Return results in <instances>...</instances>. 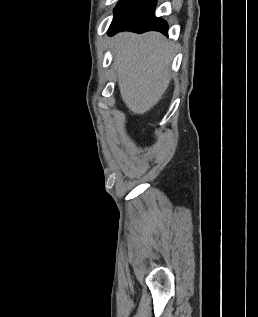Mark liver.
<instances>
[{
	"label": "liver",
	"instance_id": "liver-1",
	"mask_svg": "<svg viewBox=\"0 0 258 317\" xmlns=\"http://www.w3.org/2000/svg\"><path fill=\"white\" fill-rule=\"evenodd\" d=\"M112 46L122 100L132 112L144 114L170 82L173 42L161 32H119Z\"/></svg>",
	"mask_w": 258,
	"mask_h": 317
}]
</instances>
